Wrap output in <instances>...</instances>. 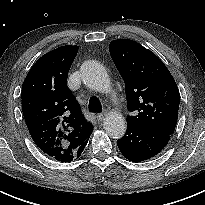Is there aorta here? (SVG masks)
Instances as JSON below:
<instances>
[{
    "label": "aorta",
    "instance_id": "1",
    "mask_svg": "<svg viewBox=\"0 0 205 205\" xmlns=\"http://www.w3.org/2000/svg\"><path fill=\"white\" fill-rule=\"evenodd\" d=\"M83 82L91 89L104 92L110 88V80L106 69L97 61L88 60L81 66ZM104 130L115 139L121 138L126 131L124 117L118 112H110L104 119Z\"/></svg>",
    "mask_w": 205,
    "mask_h": 205
}]
</instances>
